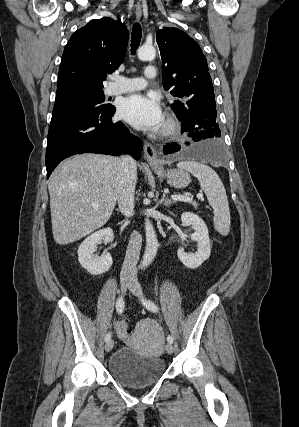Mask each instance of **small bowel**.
<instances>
[{
  "label": "small bowel",
  "instance_id": "1",
  "mask_svg": "<svg viewBox=\"0 0 299 427\" xmlns=\"http://www.w3.org/2000/svg\"><path fill=\"white\" fill-rule=\"evenodd\" d=\"M118 325V324H117ZM117 328V327H116ZM118 334V333H117ZM118 336H119V338L122 340V341H126L128 338H125L124 336H122V335H120V334H118Z\"/></svg>",
  "mask_w": 299,
  "mask_h": 427
}]
</instances>
